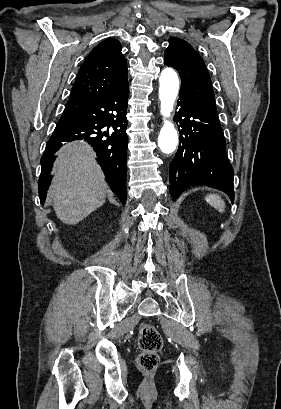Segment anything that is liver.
<instances>
[{
    "label": "liver",
    "instance_id": "6515ba94",
    "mask_svg": "<svg viewBox=\"0 0 281 409\" xmlns=\"http://www.w3.org/2000/svg\"><path fill=\"white\" fill-rule=\"evenodd\" d=\"M48 196L56 217L65 225H77L104 205L107 182L95 154L84 142H70L58 152Z\"/></svg>",
    "mask_w": 281,
    "mask_h": 409
}]
</instances>
